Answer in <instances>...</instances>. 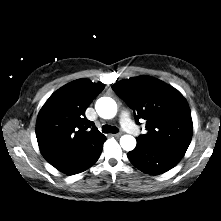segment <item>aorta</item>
<instances>
[{
    "label": "aorta",
    "mask_w": 221,
    "mask_h": 221,
    "mask_svg": "<svg viewBox=\"0 0 221 221\" xmlns=\"http://www.w3.org/2000/svg\"><path fill=\"white\" fill-rule=\"evenodd\" d=\"M95 109L98 115L104 119H111L117 113V104L110 97H101L97 100ZM120 145L125 151H131L136 147V139L131 135H123Z\"/></svg>",
    "instance_id": "obj_1"
}]
</instances>
